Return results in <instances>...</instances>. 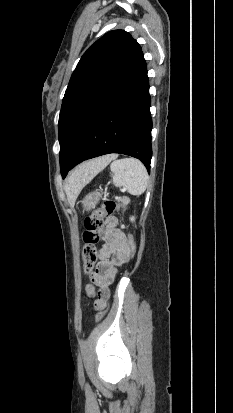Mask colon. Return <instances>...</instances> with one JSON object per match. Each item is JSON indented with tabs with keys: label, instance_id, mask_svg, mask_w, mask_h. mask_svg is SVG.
<instances>
[{
	"label": "colon",
	"instance_id": "5ec220e1",
	"mask_svg": "<svg viewBox=\"0 0 233 413\" xmlns=\"http://www.w3.org/2000/svg\"><path fill=\"white\" fill-rule=\"evenodd\" d=\"M118 204L111 199L105 200L102 205L96 209L84 221V231L82 239L84 242L82 248V258L84 262V272L90 274L97 260L96 245L101 239V233L106 229V220L109 219L117 210ZM125 234V233H124ZM126 235V234H125ZM127 236V258L128 261L135 253V245L130 235ZM98 310L96 321L99 322L106 313L104 307H95Z\"/></svg>",
	"mask_w": 233,
	"mask_h": 413
}]
</instances>
